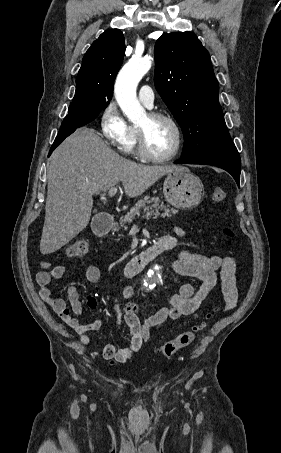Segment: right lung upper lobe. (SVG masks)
Returning <instances> with one entry per match:
<instances>
[{
  "label": "right lung upper lobe",
  "instance_id": "obj_1",
  "mask_svg": "<svg viewBox=\"0 0 281 453\" xmlns=\"http://www.w3.org/2000/svg\"><path fill=\"white\" fill-rule=\"evenodd\" d=\"M125 55V40L118 29L102 33L87 50L76 79L71 108L90 105L105 109L113 93V82Z\"/></svg>",
  "mask_w": 281,
  "mask_h": 453
}]
</instances>
